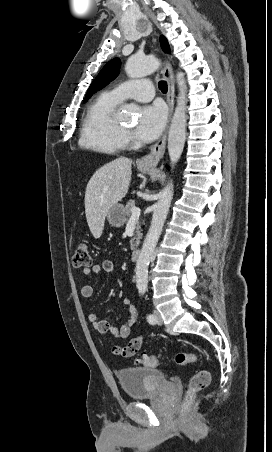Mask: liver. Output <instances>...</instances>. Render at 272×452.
<instances>
[{
	"label": "liver",
	"instance_id": "1",
	"mask_svg": "<svg viewBox=\"0 0 272 452\" xmlns=\"http://www.w3.org/2000/svg\"><path fill=\"white\" fill-rule=\"evenodd\" d=\"M131 165V159L119 157L99 168L87 184L85 213L89 229L96 239L102 235L110 208L128 192L132 176Z\"/></svg>",
	"mask_w": 272,
	"mask_h": 452
}]
</instances>
